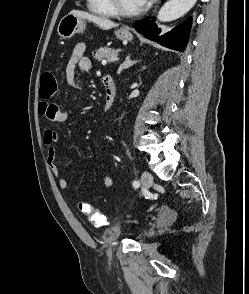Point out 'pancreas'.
I'll list each match as a JSON object with an SVG mask.
<instances>
[{"label": "pancreas", "instance_id": "pancreas-1", "mask_svg": "<svg viewBox=\"0 0 249 294\" xmlns=\"http://www.w3.org/2000/svg\"><path fill=\"white\" fill-rule=\"evenodd\" d=\"M118 54L117 50L107 48V47H100L95 51L93 54L94 59L101 61L104 58H109L112 56H116Z\"/></svg>", "mask_w": 249, "mask_h": 294}]
</instances>
